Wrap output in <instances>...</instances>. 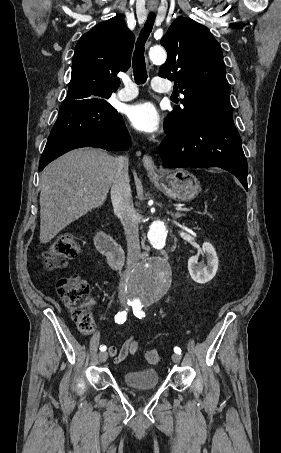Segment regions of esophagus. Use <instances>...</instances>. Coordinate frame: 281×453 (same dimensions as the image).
I'll return each mask as SVG.
<instances>
[{
	"label": "esophagus",
	"instance_id": "obj_1",
	"mask_svg": "<svg viewBox=\"0 0 281 453\" xmlns=\"http://www.w3.org/2000/svg\"><path fill=\"white\" fill-rule=\"evenodd\" d=\"M142 162L148 175H157L158 169L149 155H144Z\"/></svg>",
	"mask_w": 281,
	"mask_h": 453
}]
</instances>
